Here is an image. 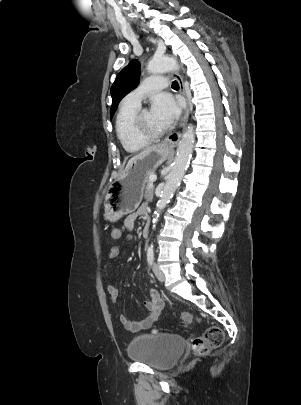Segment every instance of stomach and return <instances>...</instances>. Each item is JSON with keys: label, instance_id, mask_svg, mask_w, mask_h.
I'll return each instance as SVG.
<instances>
[{"label": "stomach", "instance_id": "obj_1", "mask_svg": "<svg viewBox=\"0 0 301 405\" xmlns=\"http://www.w3.org/2000/svg\"><path fill=\"white\" fill-rule=\"evenodd\" d=\"M171 149L161 144L136 159L109 187L105 196L106 218L117 221L123 215L134 212L142 201L145 185L150 174L168 158Z\"/></svg>", "mask_w": 301, "mask_h": 405}]
</instances>
